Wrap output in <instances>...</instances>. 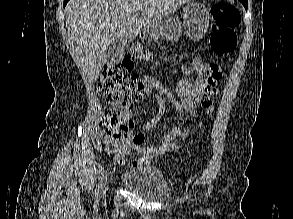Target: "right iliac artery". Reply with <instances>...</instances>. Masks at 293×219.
Here are the masks:
<instances>
[{"label":"right iliac artery","mask_w":293,"mask_h":219,"mask_svg":"<svg viewBox=\"0 0 293 219\" xmlns=\"http://www.w3.org/2000/svg\"><path fill=\"white\" fill-rule=\"evenodd\" d=\"M104 168L101 167L98 171V180H99V183H98V186L96 187V194L98 195L100 193V189H101V182L104 178Z\"/></svg>","instance_id":"obj_1"}]
</instances>
